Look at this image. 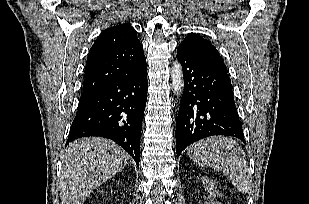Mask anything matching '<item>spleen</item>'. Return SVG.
<instances>
[{
	"label": "spleen",
	"instance_id": "spleen-1",
	"mask_svg": "<svg viewBox=\"0 0 309 204\" xmlns=\"http://www.w3.org/2000/svg\"><path fill=\"white\" fill-rule=\"evenodd\" d=\"M187 154L199 166L221 171L241 192L250 189L251 175L240 145L224 136L209 137L191 145Z\"/></svg>",
	"mask_w": 309,
	"mask_h": 204
}]
</instances>
